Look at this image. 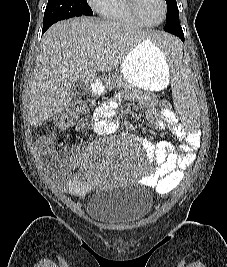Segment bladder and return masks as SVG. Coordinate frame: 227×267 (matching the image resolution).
Instances as JSON below:
<instances>
[{"mask_svg":"<svg viewBox=\"0 0 227 267\" xmlns=\"http://www.w3.org/2000/svg\"><path fill=\"white\" fill-rule=\"evenodd\" d=\"M152 207L151 195L134 184L96 188L86 205L94 221L112 227L134 225L146 218Z\"/></svg>","mask_w":227,"mask_h":267,"instance_id":"1","label":"bladder"}]
</instances>
